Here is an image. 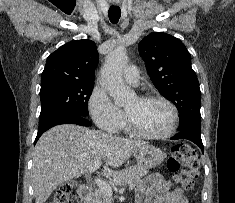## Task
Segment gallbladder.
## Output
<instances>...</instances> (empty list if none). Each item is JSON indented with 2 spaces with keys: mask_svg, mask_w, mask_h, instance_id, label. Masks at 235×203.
Segmentation results:
<instances>
[{
  "mask_svg": "<svg viewBox=\"0 0 235 203\" xmlns=\"http://www.w3.org/2000/svg\"><path fill=\"white\" fill-rule=\"evenodd\" d=\"M66 184L71 185V186H77L78 185L77 181H75L73 179L67 180Z\"/></svg>",
  "mask_w": 235,
  "mask_h": 203,
  "instance_id": "gallbladder-1",
  "label": "gallbladder"
}]
</instances>
